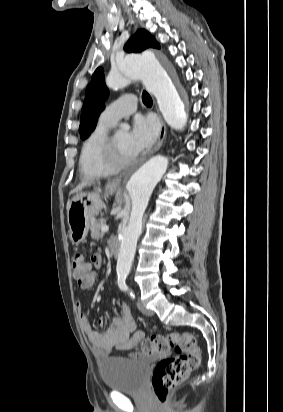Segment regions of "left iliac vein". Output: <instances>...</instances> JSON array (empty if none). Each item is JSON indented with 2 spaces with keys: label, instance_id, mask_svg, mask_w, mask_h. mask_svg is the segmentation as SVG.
Masks as SVG:
<instances>
[{
  "label": "left iliac vein",
  "instance_id": "1",
  "mask_svg": "<svg viewBox=\"0 0 283 412\" xmlns=\"http://www.w3.org/2000/svg\"><path fill=\"white\" fill-rule=\"evenodd\" d=\"M136 304H137V307H138L139 311L141 313H143L144 315H146V316H152L153 315V311L148 309L141 300H137Z\"/></svg>",
  "mask_w": 283,
  "mask_h": 412
}]
</instances>
